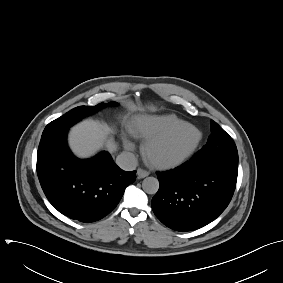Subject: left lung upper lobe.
<instances>
[{
	"label": "left lung upper lobe",
	"instance_id": "1",
	"mask_svg": "<svg viewBox=\"0 0 283 283\" xmlns=\"http://www.w3.org/2000/svg\"><path fill=\"white\" fill-rule=\"evenodd\" d=\"M206 145L194 156V161H220L238 165V152L232 138L214 121Z\"/></svg>",
	"mask_w": 283,
	"mask_h": 283
}]
</instances>
